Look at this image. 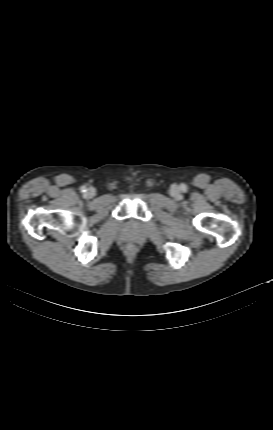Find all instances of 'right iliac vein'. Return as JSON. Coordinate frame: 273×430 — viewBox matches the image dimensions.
Here are the masks:
<instances>
[{"label":"right iliac vein","instance_id":"63e3f726","mask_svg":"<svg viewBox=\"0 0 273 430\" xmlns=\"http://www.w3.org/2000/svg\"><path fill=\"white\" fill-rule=\"evenodd\" d=\"M85 195L87 198H93L96 195L95 188H93V187L88 188Z\"/></svg>","mask_w":273,"mask_h":430}]
</instances>
